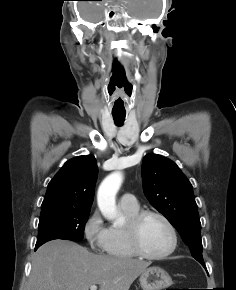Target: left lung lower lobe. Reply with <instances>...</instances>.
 I'll use <instances>...</instances> for the list:
<instances>
[{"instance_id":"1","label":"left lung lower lobe","mask_w":236,"mask_h":290,"mask_svg":"<svg viewBox=\"0 0 236 290\" xmlns=\"http://www.w3.org/2000/svg\"><path fill=\"white\" fill-rule=\"evenodd\" d=\"M201 264H202L203 267H205V264L204 263H201Z\"/></svg>"}]
</instances>
